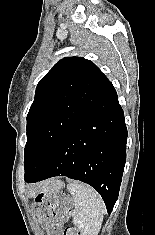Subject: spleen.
I'll return each mask as SVG.
<instances>
[{
    "label": "spleen",
    "instance_id": "1",
    "mask_svg": "<svg viewBox=\"0 0 155 235\" xmlns=\"http://www.w3.org/2000/svg\"><path fill=\"white\" fill-rule=\"evenodd\" d=\"M67 189L74 199L73 223L82 235H98L105 213L102 197L90 186L70 183Z\"/></svg>",
    "mask_w": 155,
    "mask_h": 235
}]
</instances>
